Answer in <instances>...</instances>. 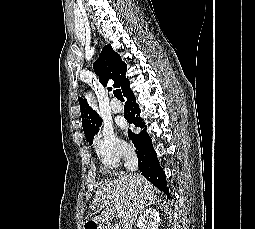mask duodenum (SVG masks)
I'll list each match as a JSON object with an SVG mask.
<instances>
[{
	"mask_svg": "<svg viewBox=\"0 0 255 229\" xmlns=\"http://www.w3.org/2000/svg\"><path fill=\"white\" fill-rule=\"evenodd\" d=\"M97 229H117V228L113 225H101V227Z\"/></svg>",
	"mask_w": 255,
	"mask_h": 229,
	"instance_id": "obj_1",
	"label": "duodenum"
}]
</instances>
